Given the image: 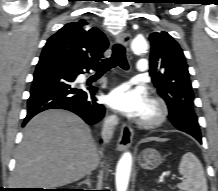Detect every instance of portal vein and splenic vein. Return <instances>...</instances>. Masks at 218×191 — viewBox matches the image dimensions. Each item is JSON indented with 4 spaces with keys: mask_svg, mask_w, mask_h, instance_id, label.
I'll list each match as a JSON object with an SVG mask.
<instances>
[{
    "mask_svg": "<svg viewBox=\"0 0 218 191\" xmlns=\"http://www.w3.org/2000/svg\"><path fill=\"white\" fill-rule=\"evenodd\" d=\"M175 178H178V179H182V178H179V177H175V176H173V177H172V179H175Z\"/></svg>",
    "mask_w": 218,
    "mask_h": 191,
    "instance_id": "portal-vein-and-splenic-vein-1",
    "label": "portal vein and splenic vein"
}]
</instances>
